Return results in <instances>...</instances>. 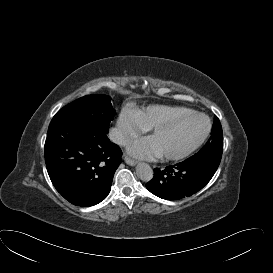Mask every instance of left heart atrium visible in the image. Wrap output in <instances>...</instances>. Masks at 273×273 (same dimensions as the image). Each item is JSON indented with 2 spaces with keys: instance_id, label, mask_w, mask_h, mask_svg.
<instances>
[{
  "instance_id": "obj_1",
  "label": "left heart atrium",
  "mask_w": 273,
  "mask_h": 273,
  "mask_svg": "<svg viewBox=\"0 0 273 273\" xmlns=\"http://www.w3.org/2000/svg\"><path fill=\"white\" fill-rule=\"evenodd\" d=\"M134 154L148 160L160 157V152L148 140H139L134 149Z\"/></svg>"
}]
</instances>
